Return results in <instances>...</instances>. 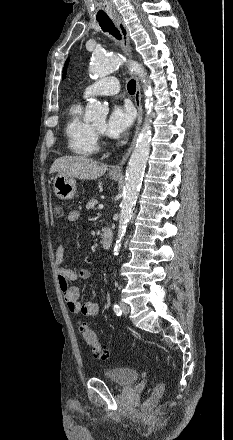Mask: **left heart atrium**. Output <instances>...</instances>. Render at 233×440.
Returning a JSON list of instances; mask_svg holds the SVG:
<instances>
[{
	"mask_svg": "<svg viewBox=\"0 0 233 440\" xmlns=\"http://www.w3.org/2000/svg\"><path fill=\"white\" fill-rule=\"evenodd\" d=\"M133 118V112L129 106L114 105L104 131L112 138H120L131 127Z\"/></svg>",
	"mask_w": 233,
	"mask_h": 440,
	"instance_id": "obj_1",
	"label": "left heart atrium"
}]
</instances>
